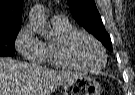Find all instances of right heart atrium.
<instances>
[{
    "label": "right heart atrium",
    "mask_w": 135,
    "mask_h": 95,
    "mask_svg": "<svg viewBox=\"0 0 135 95\" xmlns=\"http://www.w3.org/2000/svg\"><path fill=\"white\" fill-rule=\"evenodd\" d=\"M15 47L28 61L42 63L45 60L44 43L35 36L29 24L23 26L17 33Z\"/></svg>",
    "instance_id": "d8ad5b80"
}]
</instances>
